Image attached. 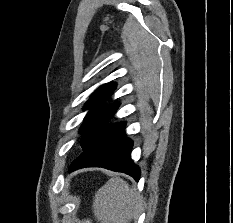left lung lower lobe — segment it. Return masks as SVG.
<instances>
[{"mask_svg":"<svg viewBox=\"0 0 233 223\" xmlns=\"http://www.w3.org/2000/svg\"><path fill=\"white\" fill-rule=\"evenodd\" d=\"M125 122L108 124L72 162L69 171L83 167H103L124 172L139 181L140 169L130 158L133 142L125 136Z\"/></svg>","mask_w":233,"mask_h":223,"instance_id":"0a47b994","label":"left lung lower lobe"}]
</instances>
